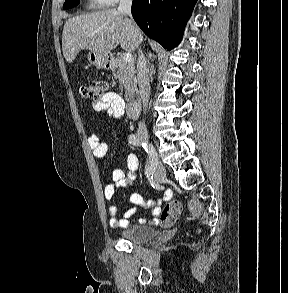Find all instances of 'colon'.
<instances>
[{
  "instance_id": "colon-1",
  "label": "colon",
  "mask_w": 288,
  "mask_h": 293,
  "mask_svg": "<svg viewBox=\"0 0 288 293\" xmlns=\"http://www.w3.org/2000/svg\"><path fill=\"white\" fill-rule=\"evenodd\" d=\"M107 91V84L101 80H91L88 84L81 86V96L93 100L99 101L103 98ZM182 210V205L178 200H172L168 202L158 215V223L162 227H169L173 225L178 219Z\"/></svg>"
}]
</instances>
